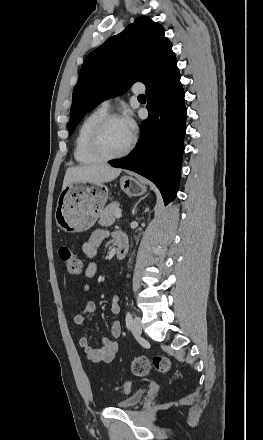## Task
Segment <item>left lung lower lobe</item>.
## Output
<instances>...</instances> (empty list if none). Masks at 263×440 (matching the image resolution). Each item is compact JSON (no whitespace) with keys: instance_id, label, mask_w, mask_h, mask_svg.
<instances>
[{"instance_id":"obj_1","label":"left lung lower lobe","mask_w":263,"mask_h":440,"mask_svg":"<svg viewBox=\"0 0 263 440\" xmlns=\"http://www.w3.org/2000/svg\"><path fill=\"white\" fill-rule=\"evenodd\" d=\"M145 85L149 117L142 123L139 144L128 156L109 164L154 182L167 205L177 194L186 132L187 111L177 60L159 69Z\"/></svg>"}]
</instances>
